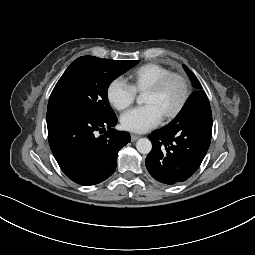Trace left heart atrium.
<instances>
[{
	"label": "left heart atrium",
	"instance_id": "1",
	"mask_svg": "<svg viewBox=\"0 0 255 255\" xmlns=\"http://www.w3.org/2000/svg\"><path fill=\"white\" fill-rule=\"evenodd\" d=\"M163 118V114L154 104L136 107L121 117V125L125 130L144 133L156 125Z\"/></svg>",
	"mask_w": 255,
	"mask_h": 255
}]
</instances>
